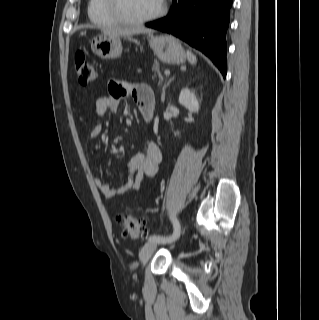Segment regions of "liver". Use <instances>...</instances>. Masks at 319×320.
Returning <instances> with one entry per match:
<instances>
[{
    "label": "liver",
    "instance_id": "1",
    "mask_svg": "<svg viewBox=\"0 0 319 320\" xmlns=\"http://www.w3.org/2000/svg\"><path fill=\"white\" fill-rule=\"evenodd\" d=\"M152 31L146 29L144 27H129V28H106L103 29V33L106 35H113V36H125V35H133L138 33H151Z\"/></svg>",
    "mask_w": 319,
    "mask_h": 320
}]
</instances>
